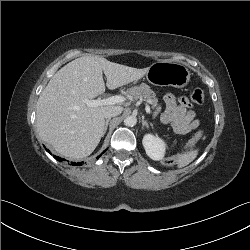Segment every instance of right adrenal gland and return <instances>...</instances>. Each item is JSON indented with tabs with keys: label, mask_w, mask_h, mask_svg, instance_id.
<instances>
[{
	"label": "right adrenal gland",
	"mask_w": 250,
	"mask_h": 250,
	"mask_svg": "<svg viewBox=\"0 0 250 250\" xmlns=\"http://www.w3.org/2000/svg\"><path fill=\"white\" fill-rule=\"evenodd\" d=\"M109 121H110V118H108V119L106 120V122H105L104 131H103V135H102V136H104L105 133H106V131H107Z\"/></svg>",
	"instance_id": "right-adrenal-gland-1"
}]
</instances>
